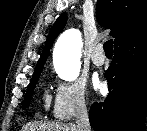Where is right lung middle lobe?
<instances>
[{"mask_svg": "<svg viewBox=\"0 0 147 131\" xmlns=\"http://www.w3.org/2000/svg\"><path fill=\"white\" fill-rule=\"evenodd\" d=\"M40 73H41V71L33 74V78H32V80H31V82L28 86L27 93H26L25 98L23 100V108L28 107V104L31 100V97H32V94H33V91H34V88H35V83L38 81Z\"/></svg>", "mask_w": 147, "mask_h": 131, "instance_id": "right-lung-middle-lobe-1", "label": "right lung middle lobe"}]
</instances>
